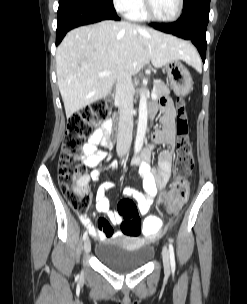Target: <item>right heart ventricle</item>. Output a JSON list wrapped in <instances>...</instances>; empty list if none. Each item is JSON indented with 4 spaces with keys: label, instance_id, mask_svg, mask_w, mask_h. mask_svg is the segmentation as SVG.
Returning <instances> with one entry per match:
<instances>
[{
    "label": "right heart ventricle",
    "instance_id": "obj_1",
    "mask_svg": "<svg viewBox=\"0 0 247 304\" xmlns=\"http://www.w3.org/2000/svg\"><path fill=\"white\" fill-rule=\"evenodd\" d=\"M127 17L133 21H144L147 19L142 3L127 13Z\"/></svg>",
    "mask_w": 247,
    "mask_h": 304
}]
</instances>
